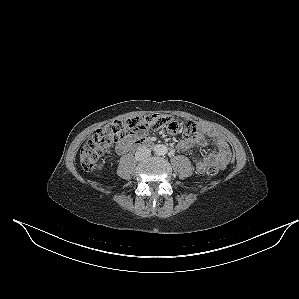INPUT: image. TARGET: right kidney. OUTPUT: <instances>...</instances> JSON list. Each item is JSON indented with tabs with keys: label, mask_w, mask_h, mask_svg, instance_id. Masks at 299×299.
I'll return each mask as SVG.
<instances>
[{
	"label": "right kidney",
	"mask_w": 299,
	"mask_h": 299,
	"mask_svg": "<svg viewBox=\"0 0 299 299\" xmlns=\"http://www.w3.org/2000/svg\"><path fill=\"white\" fill-rule=\"evenodd\" d=\"M102 168H103V166H102V165H99V166H98V169H99V170H101Z\"/></svg>",
	"instance_id": "1"
}]
</instances>
